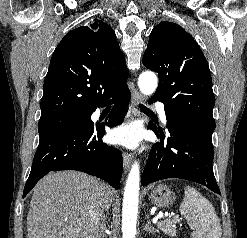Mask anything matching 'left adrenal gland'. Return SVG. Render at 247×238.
<instances>
[{"instance_id": "obj_1", "label": "left adrenal gland", "mask_w": 247, "mask_h": 238, "mask_svg": "<svg viewBox=\"0 0 247 238\" xmlns=\"http://www.w3.org/2000/svg\"><path fill=\"white\" fill-rule=\"evenodd\" d=\"M145 231L147 233H149V234L150 233H156V232H158L157 229H155L154 227H152L149 215H147V223L145 225Z\"/></svg>"}]
</instances>
